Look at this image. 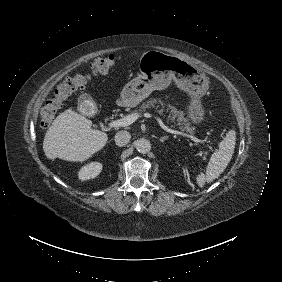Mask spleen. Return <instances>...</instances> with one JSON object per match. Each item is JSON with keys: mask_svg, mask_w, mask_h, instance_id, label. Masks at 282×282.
Returning <instances> with one entry per match:
<instances>
[{"mask_svg": "<svg viewBox=\"0 0 282 282\" xmlns=\"http://www.w3.org/2000/svg\"><path fill=\"white\" fill-rule=\"evenodd\" d=\"M236 143V132L230 130L225 138L219 143V150L210 158L206 174L201 173L197 176V184L203 187L206 182H212L218 178L226 169L234 153Z\"/></svg>", "mask_w": 282, "mask_h": 282, "instance_id": "spleen-1", "label": "spleen"}]
</instances>
